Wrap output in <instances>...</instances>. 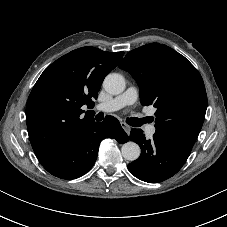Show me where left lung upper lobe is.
Instances as JSON below:
<instances>
[{"label": "left lung upper lobe", "mask_w": 227, "mask_h": 227, "mask_svg": "<svg viewBox=\"0 0 227 227\" xmlns=\"http://www.w3.org/2000/svg\"><path fill=\"white\" fill-rule=\"evenodd\" d=\"M119 67L137 81L142 104L157 108L156 132L191 151L207 109V94L197 69L184 56L158 43L130 51Z\"/></svg>", "instance_id": "1"}]
</instances>
